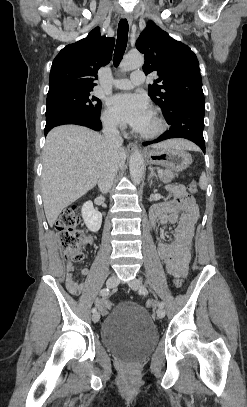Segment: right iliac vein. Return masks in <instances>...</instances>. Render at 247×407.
I'll return each instance as SVG.
<instances>
[{
	"instance_id": "63e3f726",
	"label": "right iliac vein",
	"mask_w": 247,
	"mask_h": 407,
	"mask_svg": "<svg viewBox=\"0 0 247 407\" xmlns=\"http://www.w3.org/2000/svg\"><path fill=\"white\" fill-rule=\"evenodd\" d=\"M118 282H119V279H118L115 275H111V276L107 279L106 285H107V287H109V288H113V287L117 286ZM99 319H100V314H99L98 312H96V313H94V314L92 315V320H93V322L96 323V322L99 321Z\"/></svg>"
}]
</instances>
